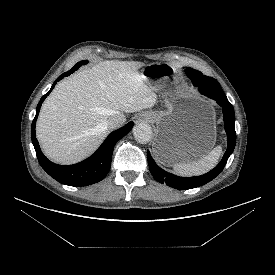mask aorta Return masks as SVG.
<instances>
[{"label":"aorta","mask_w":275,"mask_h":275,"mask_svg":"<svg viewBox=\"0 0 275 275\" xmlns=\"http://www.w3.org/2000/svg\"><path fill=\"white\" fill-rule=\"evenodd\" d=\"M133 136L139 143L145 144L151 140L152 128L147 123H138L133 128Z\"/></svg>","instance_id":"762f6f07"}]
</instances>
